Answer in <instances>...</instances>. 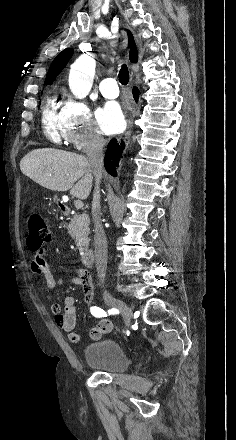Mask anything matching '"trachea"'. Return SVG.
<instances>
[{
	"label": "trachea",
	"mask_w": 236,
	"mask_h": 440,
	"mask_svg": "<svg viewBox=\"0 0 236 440\" xmlns=\"http://www.w3.org/2000/svg\"><path fill=\"white\" fill-rule=\"evenodd\" d=\"M118 78H119V82L122 85H127L128 84V82H129V71H128V67H127L126 64H123L121 66Z\"/></svg>",
	"instance_id": "1"
}]
</instances>
